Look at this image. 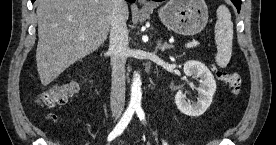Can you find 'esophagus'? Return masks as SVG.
<instances>
[{
	"mask_svg": "<svg viewBox=\"0 0 276 145\" xmlns=\"http://www.w3.org/2000/svg\"><path fill=\"white\" fill-rule=\"evenodd\" d=\"M139 2L144 4V5H150V2H148L146 0H139Z\"/></svg>",
	"mask_w": 276,
	"mask_h": 145,
	"instance_id": "obj_1",
	"label": "esophagus"
}]
</instances>
